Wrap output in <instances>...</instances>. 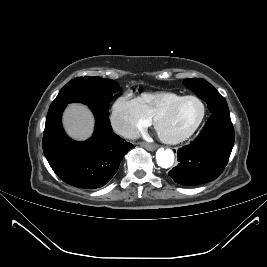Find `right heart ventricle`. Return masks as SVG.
<instances>
[{
	"mask_svg": "<svg viewBox=\"0 0 267 267\" xmlns=\"http://www.w3.org/2000/svg\"><path fill=\"white\" fill-rule=\"evenodd\" d=\"M182 97H184V95L176 92L162 91L143 93L137 99L144 114L152 120L158 112Z\"/></svg>",
	"mask_w": 267,
	"mask_h": 267,
	"instance_id": "obj_1",
	"label": "right heart ventricle"
}]
</instances>
